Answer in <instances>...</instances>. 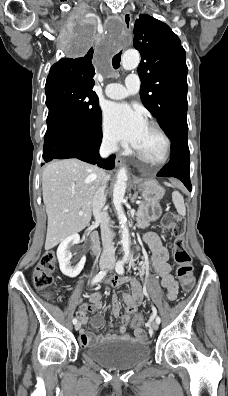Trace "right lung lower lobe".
Segmentation results:
<instances>
[{"label": "right lung lower lobe", "mask_w": 228, "mask_h": 396, "mask_svg": "<svg viewBox=\"0 0 228 396\" xmlns=\"http://www.w3.org/2000/svg\"><path fill=\"white\" fill-rule=\"evenodd\" d=\"M101 140V126L93 133L84 136L66 128L49 130L44 136V163L53 159L77 158L107 170L113 169L114 155L106 160H102L99 156Z\"/></svg>", "instance_id": "right-lung-lower-lobe-1"}]
</instances>
